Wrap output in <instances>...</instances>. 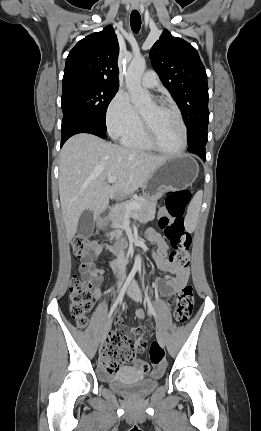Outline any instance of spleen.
Segmentation results:
<instances>
[{
    "label": "spleen",
    "mask_w": 261,
    "mask_h": 431,
    "mask_svg": "<svg viewBox=\"0 0 261 431\" xmlns=\"http://www.w3.org/2000/svg\"><path fill=\"white\" fill-rule=\"evenodd\" d=\"M202 191L197 192L195 194V196L193 197L190 207H189V212H192L193 214H198L201 208V202H202Z\"/></svg>",
    "instance_id": "1"
}]
</instances>
